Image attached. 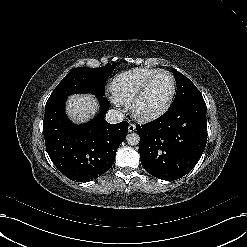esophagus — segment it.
Here are the masks:
<instances>
[{
    "instance_id": "obj_1",
    "label": "esophagus",
    "mask_w": 247,
    "mask_h": 247,
    "mask_svg": "<svg viewBox=\"0 0 247 247\" xmlns=\"http://www.w3.org/2000/svg\"><path fill=\"white\" fill-rule=\"evenodd\" d=\"M136 130V126L132 123L129 124L128 126V131L129 132H134Z\"/></svg>"
}]
</instances>
